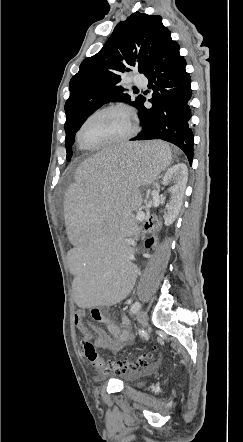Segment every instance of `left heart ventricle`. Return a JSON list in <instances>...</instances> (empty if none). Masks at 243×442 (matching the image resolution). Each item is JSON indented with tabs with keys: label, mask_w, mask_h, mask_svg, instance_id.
<instances>
[{
	"label": "left heart ventricle",
	"mask_w": 243,
	"mask_h": 442,
	"mask_svg": "<svg viewBox=\"0 0 243 442\" xmlns=\"http://www.w3.org/2000/svg\"><path fill=\"white\" fill-rule=\"evenodd\" d=\"M130 129L128 116L121 111H111L91 119L82 131L87 145H100L124 136Z\"/></svg>",
	"instance_id": "left-heart-ventricle-1"
}]
</instances>
